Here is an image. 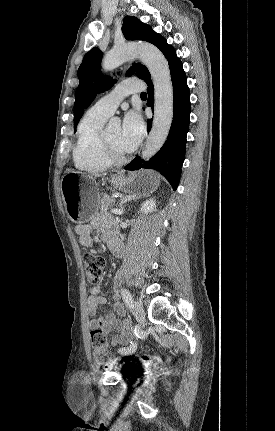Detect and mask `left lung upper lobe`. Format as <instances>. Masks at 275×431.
I'll use <instances>...</instances> for the list:
<instances>
[{
  "mask_svg": "<svg viewBox=\"0 0 275 431\" xmlns=\"http://www.w3.org/2000/svg\"><path fill=\"white\" fill-rule=\"evenodd\" d=\"M122 32L127 40H143L157 46L166 55L172 46L166 40L154 32L149 25L142 23L136 17L126 16L123 20ZM102 52L98 48L91 49L83 59L78 69L79 86L76 89L74 104V130L83 115V109L87 108L97 93L108 90L114 83L111 77L104 76L100 71ZM136 75L145 82L151 79L148 69L138 63L133 64L127 72L128 76Z\"/></svg>",
  "mask_w": 275,
  "mask_h": 431,
  "instance_id": "obj_1",
  "label": "left lung upper lobe"
}]
</instances>
